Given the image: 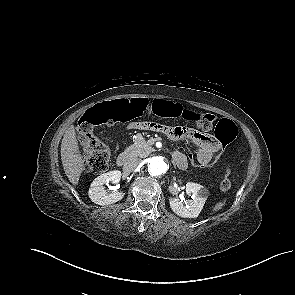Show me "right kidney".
Returning <instances> with one entry per match:
<instances>
[{
    "label": "right kidney",
    "instance_id": "obj_1",
    "mask_svg": "<svg viewBox=\"0 0 295 295\" xmlns=\"http://www.w3.org/2000/svg\"><path fill=\"white\" fill-rule=\"evenodd\" d=\"M121 175L122 174L120 171L114 170L101 174L100 176L95 178L88 192L91 201L102 206L120 201L124 197L125 193L119 191L108 193L104 189V184H108L109 182H112L114 184L119 183Z\"/></svg>",
    "mask_w": 295,
    "mask_h": 295
}]
</instances>
